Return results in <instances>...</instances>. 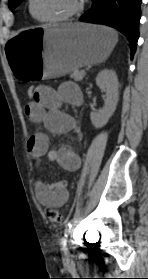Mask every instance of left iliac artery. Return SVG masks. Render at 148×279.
<instances>
[{"mask_svg": "<svg viewBox=\"0 0 148 279\" xmlns=\"http://www.w3.org/2000/svg\"><path fill=\"white\" fill-rule=\"evenodd\" d=\"M71 227H72V224H71V221H70V222H68V223L66 224L65 234H64L65 238H67L68 233L70 232ZM65 240H66V239H65Z\"/></svg>", "mask_w": 148, "mask_h": 279, "instance_id": "44dca946", "label": "left iliac artery"}]
</instances>
